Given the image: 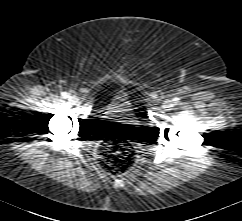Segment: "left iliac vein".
<instances>
[{
    "instance_id": "left-iliac-vein-1",
    "label": "left iliac vein",
    "mask_w": 242,
    "mask_h": 221,
    "mask_svg": "<svg viewBox=\"0 0 242 221\" xmlns=\"http://www.w3.org/2000/svg\"><path fill=\"white\" fill-rule=\"evenodd\" d=\"M166 105L169 106L170 105V102H166Z\"/></svg>"
}]
</instances>
